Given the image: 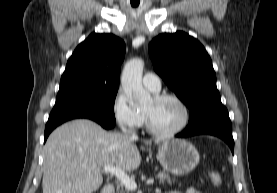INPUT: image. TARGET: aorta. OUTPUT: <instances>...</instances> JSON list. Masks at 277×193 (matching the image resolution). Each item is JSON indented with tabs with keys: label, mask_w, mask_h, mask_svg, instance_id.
<instances>
[{
	"label": "aorta",
	"mask_w": 277,
	"mask_h": 193,
	"mask_svg": "<svg viewBox=\"0 0 277 193\" xmlns=\"http://www.w3.org/2000/svg\"><path fill=\"white\" fill-rule=\"evenodd\" d=\"M144 61L140 58L129 60L121 75V85L132 106L140 105L151 99L150 93L143 88L142 74Z\"/></svg>",
	"instance_id": "762f6f07"
}]
</instances>
